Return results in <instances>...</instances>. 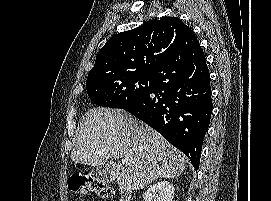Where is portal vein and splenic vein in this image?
Wrapping results in <instances>:
<instances>
[{"mask_svg": "<svg viewBox=\"0 0 271 201\" xmlns=\"http://www.w3.org/2000/svg\"><path fill=\"white\" fill-rule=\"evenodd\" d=\"M122 162H123L124 164H126V165L131 164L130 158H123V159H122Z\"/></svg>", "mask_w": 271, "mask_h": 201, "instance_id": "18ae733b", "label": "portal vein and splenic vein"}]
</instances>
